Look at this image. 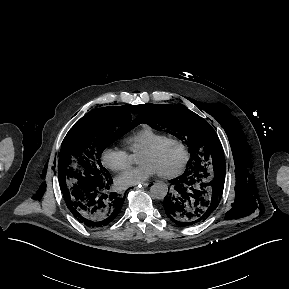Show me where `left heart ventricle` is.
<instances>
[{
	"mask_svg": "<svg viewBox=\"0 0 289 289\" xmlns=\"http://www.w3.org/2000/svg\"><path fill=\"white\" fill-rule=\"evenodd\" d=\"M183 150L175 143H170L161 148L158 152L139 154L140 164H151L159 173L171 172L177 169L183 160Z\"/></svg>",
	"mask_w": 289,
	"mask_h": 289,
	"instance_id": "left-heart-ventricle-1",
	"label": "left heart ventricle"
}]
</instances>
